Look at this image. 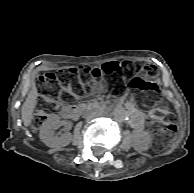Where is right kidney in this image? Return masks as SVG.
<instances>
[{
    "label": "right kidney",
    "instance_id": "right-kidney-1",
    "mask_svg": "<svg viewBox=\"0 0 194 193\" xmlns=\"http://www.w3.org/2000/svg\"><path fill=\"white\" fill-rule=\"evenodd\" d=\"M59 116L52 114L42 124L39 137L41 141L50 148H60L67 146L71 140L70 133H64L61 136H54L53 130L60 127Z\"/></svg>",
    "mask_w": 194,
    "mask_h": 193
}]
</instances>
